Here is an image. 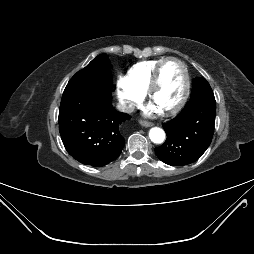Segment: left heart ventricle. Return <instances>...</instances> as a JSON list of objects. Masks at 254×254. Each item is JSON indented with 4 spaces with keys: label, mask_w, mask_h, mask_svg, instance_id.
Listing matches in <instances>:
<instances>
[{
    "label": "left heart ventricle",
    "mask_w": 254,
    "mask_h": 254,
    "mask_svg": "<svg viewBox=\"0 0 254 254\" xmlns=\"http://www.w3.org/2000/svg\"><path fill=\"white\" fill-rule=\"evenodd\" d=\"M183 83L181 66L175 61L167 62L162 68L159 86L151 100L152 105L160 111L174 106L181 97Z\"/></svg>",
    "instance_id": "1"
}]
</instances>
